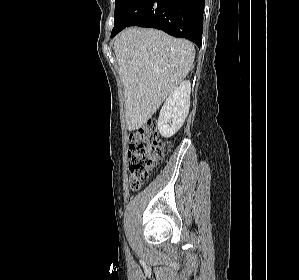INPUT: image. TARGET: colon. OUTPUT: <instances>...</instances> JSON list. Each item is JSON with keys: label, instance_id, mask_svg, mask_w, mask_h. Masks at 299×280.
Wrapping results in <instances>:
<instances>
[{"label": "colon", "instance_id": "colon-1", "mask_svg": "<svg viewBox=\"0 0 299 280\" xmlns=\"http://www.w3.org/2000/svg\"><path fill=\"white\" fill-rule=\"evenodd\" d=\"M164 147L154 121L130 134L127 157L133 190H138L148 180L163 157Z\"/></svg>", "mask_w": 299, "mask_h": 280}]
</instances>
